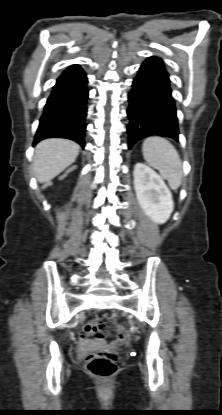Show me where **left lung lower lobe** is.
Segmentation results:
<instances>
[{
    "mask_svg": "<svg viewBox=\"0 0 222 415\" xmlns=\"http://www.w3.org/2000/svg\"><path fill=\"white\" fill-rule=\"evenodd\" d=\"M128 101L129 149L140 139L153 135L179 140L175 101L161 58L151 56L144 61L133 80Z\"/></svg>",
    "mask_w": 222,
    "mask_h": 415,
    "instance_id": "obj_1",
    "label": "left lung lower lobe"
}]
</instances>
